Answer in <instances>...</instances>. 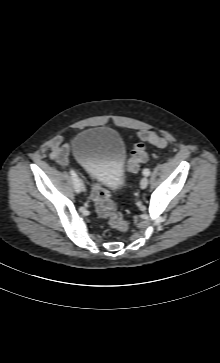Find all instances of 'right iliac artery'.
I'll return each mask as SVG.
<instances>
[{"label": "right iliac artery", "instance_id": "right-iliac-artery-1", "mask_svg": "<svg viewBox=\"0 0 220 363\" xmlns=\"http://www.w3.org/2000/svg\"><path fill=\"white\" fill-rule=\"evenodd\" d=\"M70 175H71V178L73 180V184H74L75 191L76 192H80V189H79V178H78L76 172L73 169H70Z\"/></svg>", "mask_w": 220, "mask_h": 363}]
</instances>
